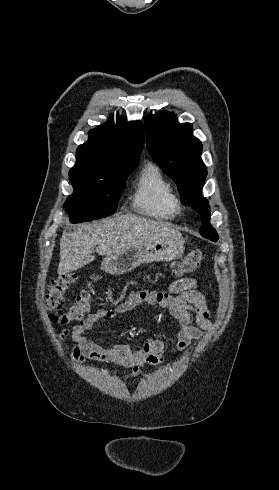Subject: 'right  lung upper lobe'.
Instances as JSON below:
<instances>
[{"label":"right lung upper lobe","instance_id":"right-lung-upper-lobe-1","mask_svg":"<svg viewBox=\"0 0 279 490\" xmlns=\"http://www.w3.org/2000/svg\"><path fill=\"white\" fill-rule=\"evenodd\" d=\"M144 146L140 121L116 124L110 120L89 131V139L77 148L76 163L69 174L104 176L123 167L137 166Z\"/></svg>","mask_w":279,"mask_h":490}]
</instances>
